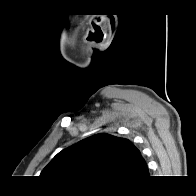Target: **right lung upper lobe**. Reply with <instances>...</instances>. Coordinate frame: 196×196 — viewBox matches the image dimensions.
<instances>
[{
  "label": "right lung upper lobe",
  "instance_id": "1",
  "mask_svg": "<svg viewBox=\"0 0 196 196\" xmlns=\"http://www.w3.org/2000/svg\"><path fill=\"white\" fill-rule=\"evenodd\" d=\"M148 175L146 161L130 140L100 133L59 152L40 176L55 183L103 188L133 184Z\"/></svg>",
  "mask_w": 196,
  "mask_h": 196
}]
</instances>
